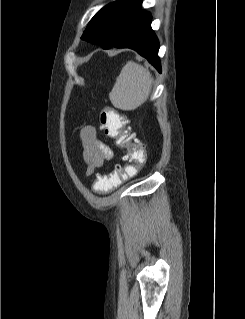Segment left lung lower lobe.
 Wrapping results in <instances>:
<instances>
[{"label": "left lung lower lobe", "instance_id": "obj_1", "mask_svg": "<svg viewBox=\"0 0 245 319\" xmlns=\"http://www.w3.org/2000/svg\"><path fill=\"white\" fill-rule=\"evenodd\" d=\"M152 16L149 12L140 9L135 13L123 28L114 43L104 49L111 47L131 48L137 51L161 72L158 57L159 41L151 29Z\"/></svg>", "mask_w": 245, "mask_h": 319}]
</instances>
